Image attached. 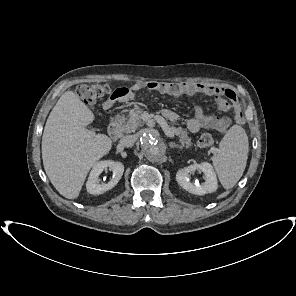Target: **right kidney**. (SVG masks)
Wrapping results in <instances>:
<instances>
[{"label":"right kidney","mask_w":296,"mask_h":296,"mask_svg":"<svg viewBox=\"0 0 296 296\" xmlns=\"http://www.w3.org/2000/svg\"><path fill=\"white\" fill-rule=\"evenodd\" d=\"M109 168L113 172L112 179L108 183L100 181L99 176L104 169ZM124 172V165L121 162L104 160L97 162L88 177L86 189L90 194L99 195L112 189L121 179Z\"/></svg>","instance_id":"right-kidney-1"}]
</instances>
